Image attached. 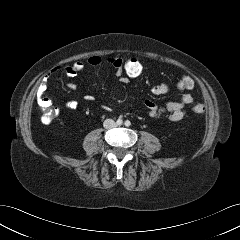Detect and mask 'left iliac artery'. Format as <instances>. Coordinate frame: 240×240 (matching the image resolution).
<instances>
[{
  "label": "left iliac artery",
  "mask_w": 240,
  "mask_h": 240,
  "mask_svg": "<svg viewBox=\"0 0 240 240\" xmlns=\"http://www.w3.org/2000/svg\"><path fill=\"white\" fill-rule=\"evenodd\" d=\"M125 125L128 127L131 125V122L129 120L125 121Z\"/></svg>",
  "instance_id": "1"
}]
</instances>
